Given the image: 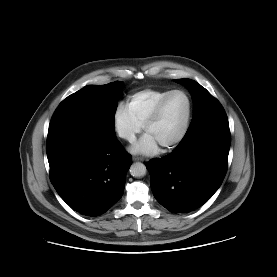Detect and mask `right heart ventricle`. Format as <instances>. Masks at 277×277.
Returning a JSON list of instances; mask_svg holds the SVG:
<instances>
[{
    "label": "right heart ventricle",
    "instance_id": "right-heart-ventricle-1",
    "mask_svg": "<svg viewBox=\"0 0 277 277\" xmlns=\"http://www.w3.org/2000/svg\"><path fill=\"white\" fill-rule=\"evenodd\" d=\"M171 89L149 88L131 95L127 100V108L132 117L142 126L152 114L158 102Z\"/></svg>",
    "mask_w": 277,
    "mask_h": 277
}]
</instances>
